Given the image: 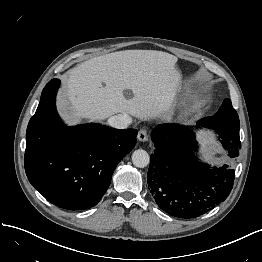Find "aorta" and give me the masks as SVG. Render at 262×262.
<instances>
[{"label": "aorta", "instance_id": "obj_1", "mask_svg": "<svg viewBox=\"0 0 262 262\" xmlns=\"http://www.w3.org/2000/svg\"><path fill=\"white\" fill-rule=\"evenodd\" d=\"M132 162L138 168H144L149 164V155L143 149L135 150L132 154Z\"/></svg>", "mask_w": 262, "mask_h": 262}]
</instances>
